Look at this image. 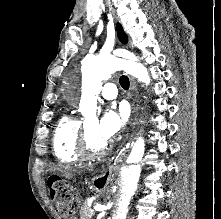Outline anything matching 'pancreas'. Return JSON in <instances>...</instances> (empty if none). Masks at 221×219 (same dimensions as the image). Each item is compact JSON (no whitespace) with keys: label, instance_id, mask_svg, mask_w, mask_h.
<instances>
[{"label":"pancreas","instance_id":"1","mask_svg":"<svg viewBox=\"0 0 221 219\" xmlns=\"http://www.w3.org/2000/svg\"><path fill=\"white\" fill-rule=\"evenodd\" d=\"M80 219H91L94 215L92 209L88 206L87 202H85L80 209Z\"/></svg>","mask_w":221,"mask_h":219}]
</instances>
